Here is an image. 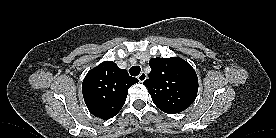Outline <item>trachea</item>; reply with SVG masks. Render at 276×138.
<instances>
[{
    "mask_svg": "<svg viewBox=\"0 0 276 138\" xmlns=\"http://www.w3.org/2000/svg\"><path fill=\"white\" fill-rule=\"evenodd\" d=\"M141 71V68L140 66H132L129 70V73L132 75V76H137L139 75Z\"/></svg>",
    "mask_w": 276,
    "mask_h": 138,
    "instance_id": "1",
    "label": "trachea"
}]
</instances>
